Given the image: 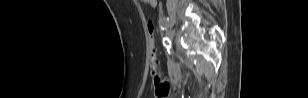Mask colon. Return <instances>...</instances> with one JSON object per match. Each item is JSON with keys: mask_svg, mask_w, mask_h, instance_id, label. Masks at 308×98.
Segmentation results:
<instances>
[{"mask_svg": "<svg viewBox=\"0 0 308 98\" xmlns=\"http://www.w3.org/2000/svg\"><path fill=\"white\" fill-rule=\"evenodd\" d=\"M147 28L149 32V38L152 43V50H151V57H150V67L153 73L154 77V84H155V90L157 96H165L169 89H170V84L169 82L163 78L158 72V66H159V60L156 54V50L154 47V25L151 20L148 21L147 23Z\"/></svg>", "mask_w": 308, "mask_h": 98, "instance_id": "5ec220e1", "label": "colon"}]
</instances>
